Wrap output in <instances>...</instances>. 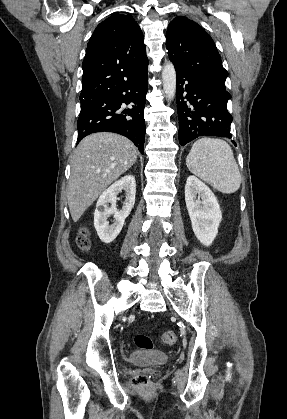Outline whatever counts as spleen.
Masks as SVG:
<instances>
[{
    "mask_svg": "<svg viewBox=\"0 0 287 419\" xmlns=\"http://www.w3.org/2000/svg\"><path fill=\"white\" fill-rule=\"evenodd\" d=\"M188 169L224 194L235 193L241 174L231 147L218 138H201L194 142L186 158Z\"/></svg>",
    "mask_w": 287,
    "mask_h": 419,
    "instance_id": "obj_1",
    "label": "spleen"
}]
</instances>
